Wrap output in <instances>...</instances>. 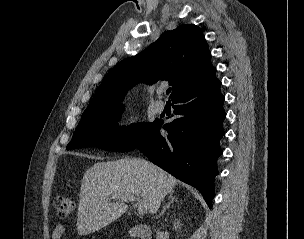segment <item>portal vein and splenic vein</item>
Returning a JSON list of instances; mask_svg holds the SVG:
<instances>
[{"mask_svg":"<svg viewBox=\"0 0 304 239\" xmlns=\"http://www.w3.org/2000/svg\"><path fill=\"white\" fill-rule=\"evenodd\" d=\"M112 199H119L121 201L125 202H136L137 211L140 215H143L147 211L146 204L137 199L133 194L131 193H120V194H114L111 197Z\"/></svg>","mask_w":304,"mask_h":239,"instance_id":"18ae733b","label":"portal vein and splenic vein"}]
</instances>
